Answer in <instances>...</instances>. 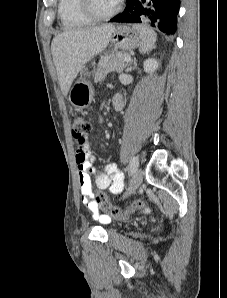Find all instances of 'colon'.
I'll return each mask as SVG.
<instances>
[{
    "label": "colon",
    "instance_id": "1",
    "mask_svg": "<svg viewBox=\"0 0 227 298\" xmlns=\"http://www.w3.org/2000/svg\"><path fill=\"white\" fill-rule=\"evenodd\" d=\"M72 125V134L76 140L78 151H83L87 145V136L91 130L90 123L88 120L82 116H74L71 120ZM96 202L98 205H101L103 208H106L104 211L106 213H113L114 218H122L124 215L121 213L122 210L120 208H114L111 206L108 197L99 192L96 196ZM149 202H131V207L127 211L129 213H135L137 207H149Z\"/></svg>",
    "mask_w": 227,
    "mask_h": 298
}]
</instances>
